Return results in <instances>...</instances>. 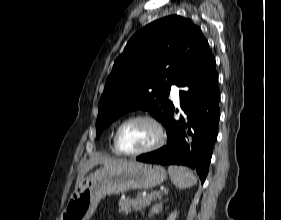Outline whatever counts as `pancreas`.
Instances as JSON below:
<instances>
[{"instance_id":"cf45deb5","label":"pancreas","mask_w":281,"mask_h":220,"mask_svg":"<svg viewBox=\"0 0 281 220\" xmlns=\"http://www.w3.org/2000/svg\"><path fill=\"white\" fill-rule=\"evenodd\" d=\"M161 197L160 192H152L145 197L137 195L136 199L120 198L119 204V213L128 214L131 211H140L144 207L150 205L152 201Z\"/></svg>"}]
</instances>
